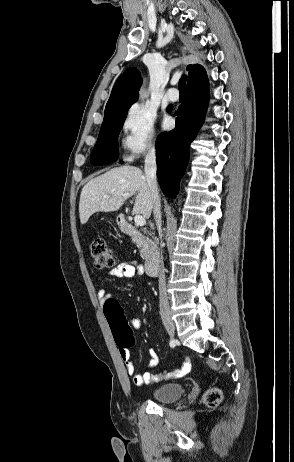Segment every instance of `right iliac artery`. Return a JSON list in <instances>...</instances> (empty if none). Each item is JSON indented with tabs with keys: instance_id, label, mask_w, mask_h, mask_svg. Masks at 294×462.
Instances as JSON below:
<instances>
[{
	"instance_id": "right-iliac-artery-1",
	"label": "right iliac artery",
	"mask_w": 294,
	"mask_h": 462,
	"mask_svg": "<svg viewBox=\"0 0 294 462\" xmlns=\"http://www.w3.org/2000/svg\"><path fill=\"white\" fill-rule=\"evenodd\" d=\"M175 345H176V341H175V340H171V341H170V346L173 348V347H175Z\"/></svg>"
}]
</instances>
